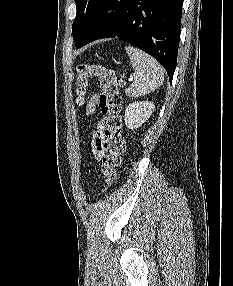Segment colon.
<instances>
[{
    "label": "colon",
    "instance_id": "obj_1",
    "mask_svg": "<svg viewBox=\"0 0 233 286\" xmlns=\"http://www.w3.org/2000/svg\"><path fill=\"white\" fill-rule=\"evenodd\" d=\"M75 88L77 101L83 102L91 78H95L100 88L98 104L103 115L106 139L105 155L102 158V171L105 185H111L117 177L122 163L125 143L122 135V99L119 93L115 73L101 63H80L75 68Z\"/></svg>",
    "mask_w": 233,
    "mask_h": 286
}]
</instances>
